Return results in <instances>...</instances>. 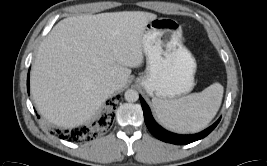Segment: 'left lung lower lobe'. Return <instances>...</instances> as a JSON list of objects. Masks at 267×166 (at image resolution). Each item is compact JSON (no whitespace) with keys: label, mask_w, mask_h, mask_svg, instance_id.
<instances>
[{"label":"left lung lower lobe","mask_w":267,"mask_h":166,"mask_svg":"<svg viewBox=\"0 0 267 166\" xmlns=\"http://www.w3.org/2000/svg\"><path fill=\"white\" fill-rule=\"evenodd\" d=\"M140 101H141V105H142V109H143V113H144V120H145V123H146L149 131L156 138H158L164 142L177 144V145H186V144L192 143L194 141L200 140V139L204 138L205 136H207L217 126V124L220 121V119H219L212 126H210L206 130H204L200 133H197V134H193V135L175 134V133L169 132V131L163 129L162 127H160L153 119L148 105L146 104V102L143 100V98L141 96H140Z\"/></svg>","instance_id":"1"}]
</instances>
